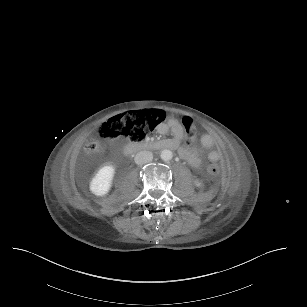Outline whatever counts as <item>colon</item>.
I'll return each mask as SVG.
<instances>
[{
	"label": "colon",
	"instance_id": "5ec220e1",
	"mask_svg": "<svg viewBox=\"0 0 307 307\" xmlns=\"http://www.w3.org/2000/svg\"><path fill=\"white\" fill-rule=\"evenodd\" d=\"M166 113L163 110H143L124 115H119L104 122L99 127V135L104 140L125 138L132 141H142L148 133L158 126ZM182 127L185 132L186 142L193 144L198 138V130L189 114L181 117ZM105 142L95 138L89 139L84 144V152L92 156L105 148ZM207 170L211 176L219 175L221 164L217 160H210Z\"/></svg>",
	"mask_w": 307,
	"mask_h": 307
}]
</instances>
